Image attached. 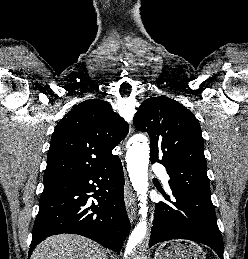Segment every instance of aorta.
<instances>
[{
  "instance_id": "obj_1",
  "label": "aorta",
  "mask_w": 248,
  "mask_h": 259,
  "mask_svg": "<svg viewBox=\"0 0 248 259\" xmlns=\"http://www.w3.org/2000/svg\"><path fill=\"white\" fill-rule=\"evenodd\" d=\"M149 145L144 136H135L130 140L126 152L127 170L129 173L132 186L137 192L140 201L139 214L141 215L140 223L135 228L134 242H140L146 234V216L148 212L147 192H148V163H149ZM132 245L127 254V259H143L135 253Z\"/></svg>"
}]
</instances>
